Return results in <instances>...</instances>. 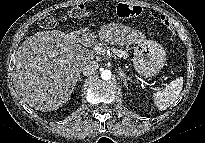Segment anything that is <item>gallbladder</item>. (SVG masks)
I'll list each match as a JSON object with an SVG mask.
<instances>
[{
	"label": "gallbladder",
	"instance_id": "obj_1",
	"mask_svg": "<svg viewBox=\"0 0 205 143\" xmlns=\"http://www.w3.org/2000/svg\"><path fill=\"white\" fill-rule=\"evenodd\" d=\"M86 37H89V32H83L80 30L79 38L84 41Z\"/></svg>",
	"mask_w": 205,
	"mask_h": 143
}]
</instances>
